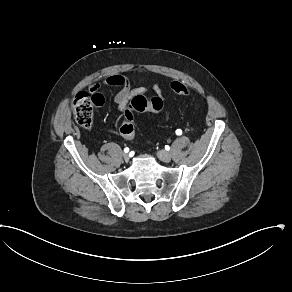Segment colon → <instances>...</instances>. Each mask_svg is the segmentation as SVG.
<instances>
[{
	"label": "colon",
	"mask_w": 292,
	"mask_h": 292,
	"mask_svg": "<svg viewBox=\"0 0 292 292\" xmlns=\"http://www.w3.org/2000/svg\"><path fill=\"white\" fill-rule=\"evenodd\" d=\"M169 86L178 94H183L185 97L192 95L190 88H185L183 84L176 79L169 81ZM103 104V98L100 94L90 96L87 92L78 93L72 100L71 115L74 120L82 127H91L93 123L94 111ZM163 109V101L160 97L147 98L143 95H138L131 102L129 108L125 111L124 120L119 124V131L125 135L127 140L133 139L134 132V114L133 111L151 112L159 114Z\"/></svg>",
	"instance_id": "colon-1"
}]
</instances>
